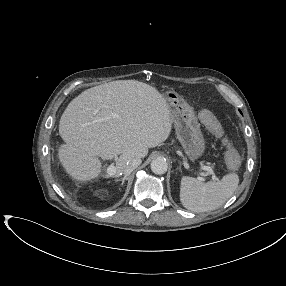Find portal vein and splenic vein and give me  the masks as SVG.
<instances>
[{"instance_id": "1", "label": "portal vein and splenic vein", "mask_w": 286, "mask_h": 286, "mask_svg": "<svg viewBox=\"0 0 286 286\" xmlns=\"http://www.w3.org/2000/svg\"><path fill=\"white\" fill-rule=\"evenodd\" d=\"M201 169L207 171L208 175H212L213 180H215V181L218 180V178L215 176L213 169L210 166H201ZM107 173L109 175H114L116 173V167L113 165L108 166ZM202 180H204V179H202Z\"/></svg>"}]
</instances>
